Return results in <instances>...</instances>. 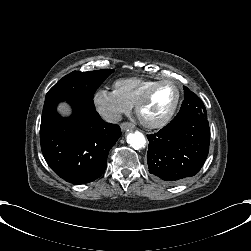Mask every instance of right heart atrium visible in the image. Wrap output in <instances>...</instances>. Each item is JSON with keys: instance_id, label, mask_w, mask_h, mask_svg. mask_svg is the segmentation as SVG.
I'll return each instance as SVG.
<instances>
[{"instance_id": "right-heart-atrium-1", "label": "right heart atrium", "mask_w": 251, "mask_h": 251, "mask_svg": "<svg viewBox=\"0 0 251 251\" xmlns=\"http://www.w3.org/2000/svg\"><path fill=\"white\" fill-rule=\"evenodd\" d=\"M97 113L108 123H116L132 106L123 101L114 90L98 89L92 95Z\"/></svg>"}]
</instances>
